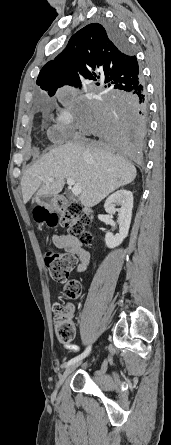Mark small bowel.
<instances>
[{
    "instance_id": "1",
    "label": "small bowel",
    "mask_w": 171,
    "mask_h": 445,
    "mask_svg": "<svg viewBox=\"0 0 171 445\" xmlns=\"http://www.w3.org/2000/svg\"><path fill=\"white\" fill-rule=\"evenodd\" d=\"M51 239L55 247L63 249L78 258L79 263L75 269L77 273L85 272L88 269L90 264V253L83 246L78 237L73 234H53ZM67 348L73 351L78 350L74 345H68Z\"/></svg>"
}]
</instances>
